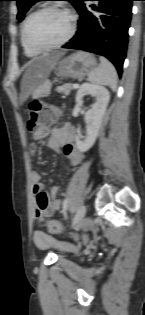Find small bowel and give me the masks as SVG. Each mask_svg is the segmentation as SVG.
<instances>
[{
  "mask_svg": "<svg viewBox=\"0 0 145 315\" xmlns=\"http://www.w3.org/2000/svg\"><path fill=\"white\" fill-rule=\"evenodd\" d=\"M48 137L49 147L56 151H63L65 156L70 160L73 166H78L83 159L82 153L75 145V134L70 124L52 130L39 129L33 134V138L28 140V147H39V140ZM32 191L36 195V205L34 214L39 224H44L45 220L52 216L61 208V201L57 198L59 188L52 186L46 194L43 192V184L41 183L40 174L37 171L31 172ZM35 244L40 248H49L59 246L64 248H72L68 242H58L57 239L50 234L36 230L33 234Z\"/></svg>",
  "mask_w": 145,
  "mask_h": 315,
  "instance_id": "small-bowel-1",
  "label": "small bowel"
}]
</instances>
